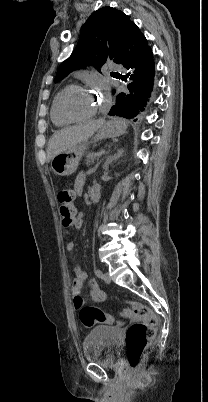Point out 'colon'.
Masks as SVG:
<instances>
[{
    "mask_svg": "<svg viewBox=\"0 0 208 402\" xmlns=\"http://www.w3.org/2000/svg\"><path fill=\"white\" fill-rule=\"evenodd\" d=\"M75 189L64 187L59 190L57 200L59 204L61 225L64 229L70 230L76 226L78 219L75 214ZM79 319L84 328L90 329L97 324L116 323L114 315L101 310L95 306L85 305L81 297L78 298ZM135 313L141 318H145L143 323L127 324L126 341L128 350V361L131 365H136L143 357L149 339L153 336L154 327L157 326L156 318L150 316L149 310L135 303L133 305ZM137 370V367H134Z\"/></svg>",
    "mask_w": 208,
    "mask_h": 402,
    "instance_id": "5ec220e1",
    "label": "colon"
}]
</instances>
